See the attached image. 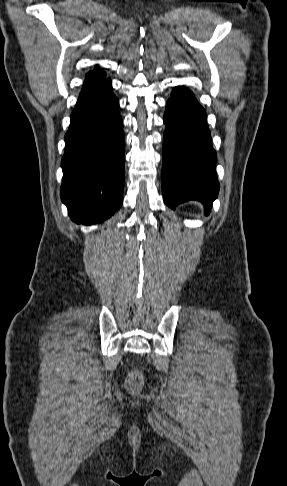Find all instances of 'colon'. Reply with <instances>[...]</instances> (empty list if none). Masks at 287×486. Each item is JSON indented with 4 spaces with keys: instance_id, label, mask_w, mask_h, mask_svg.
<instances>
[{
    "instance_id": "1",
    "label": "colon",
    "mask_w": 287,
    "mask_h": 486,
    "mask_svg": "<svg viewBox=\"0 0 287 486\" xmlns=\"http://www.w3.org/2000/svg\"><path fill=\"white\" fill-rule=\"evenodd\" d=\"M142 384V377L139 372L134 371L130 374L127 386L130 390H137Z\"/></svg>"
}]
</instances>
